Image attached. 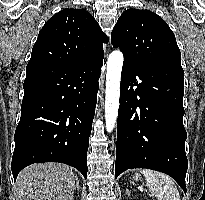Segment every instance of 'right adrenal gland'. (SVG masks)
<instances>
[{
  "label": "right adrenal gland",
  "instance_id": "1",
  "mask_svg": "<svg viewBox=\"0 0 205 200\" xmlns=\"http://www.w3.org/2000/svg\"><path fill=\"white\" fill-rule=\"evenodd\" d=\"M76 189H77V191L79 192L80 186H79V180H78V179H76ZM72 200H73V199H72Z\"/></svg>",
  "mask_w": 205,
  "mask_h": 200
}]
</instances>
